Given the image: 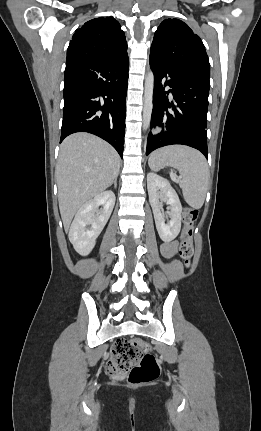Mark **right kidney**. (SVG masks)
Listing matches in <instances>:
<instances>
[{
  "mask_svg": "<svg viewBox=\"0 0 261 431\" xmlns=\"http://www.w3.org/2000/svg\"><path fill=\"white\" fill-rule=\"evenodd\" d=\"M115 200L112 191H105L77 211L69 230V240L80 255L86 256L94 248L97 237L112 213ZM99 206L103 208L99 210ZM95 212H98V215H95Z\"/></svg>",
  "mask_w": 261,
  "mask_h": 431,
  "instance_id": "1",
  "label": "right kidney"
}]
</instances>
